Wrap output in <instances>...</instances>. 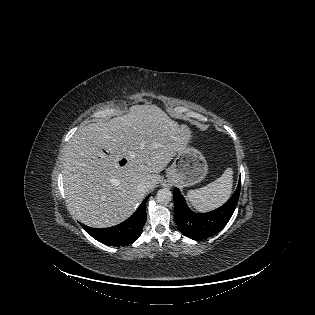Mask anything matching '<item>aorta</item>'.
Returning <instances> with one entry per match:
<instances>
[{
	"label": "aorta",
	"mask_w": 315,
	"mask_h": 315,
	"mask_svg": "<svg viewBox=\"0 0 315 315\" xmlns=\"http://www.w3.org/2000/svg\"><path fill=\"white\" fill-rule=\"evenodd\" d=\"M156 199L159 203L167 204L172 200V192L167 188L160 189L157 192Z\"/></svg>",
	"instance_id": "762f6f07"
}]
</instances>
